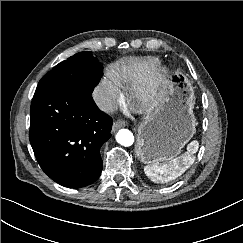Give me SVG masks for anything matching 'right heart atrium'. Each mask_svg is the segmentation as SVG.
I'll list each match as a JSON object with an SVG mask.
<instances>
[{"mask_svg": "<svg viewBox=\"0 0 243 243\" xmlns=\"http://www.w3.org/2000/svg\"><path fill=\"white\" fill-rule=\"evenodd\" d=\"M120 96V88L109 76L103 77L96 89V102L98 107L102 111H109L115 106Z\"/></svg>", "mask_w": 243, "mask_h": 243, "instance_id": "obj_1", "label": "right heart atrium"}]
</instances>
